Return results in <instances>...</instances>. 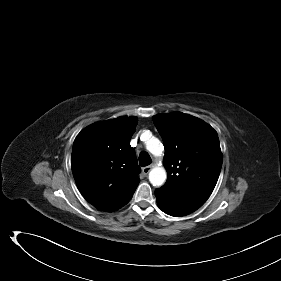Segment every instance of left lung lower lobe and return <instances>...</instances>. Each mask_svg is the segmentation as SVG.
Listing matches in <instances>:
<instances>
[{
    "label": "left lung lower lobe",
    "mask_w": 281,
    "mask_h": 281,
    "mask_svg": "<svg viewBox=\"0 0 281 281\" xmlns=\"http://www.w3.org/2000/svg\"><path fill=\"white\" fill-rule=\"evenodd\" d=\"M160 209L171 216H185L200 208L206 201L190 192L161 187L155 191Z\"/></svg>",
    "instance_id": "left-lung-lower-lobe-1"
}]
</instances>
